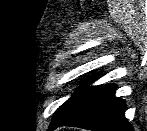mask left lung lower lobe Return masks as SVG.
<instances>
[{
  "instance_id": "left-lung-lower-lobe-1",
  "label": "left lung lower lobe",
  "mask_w": 147,
  "mask_h": 131,
  "mask_svg": "<svg viewBox=\"0 0 147 131\" xmlns=\"http://www.w3.org/2000/svg\"><path fill=\"white\" fill-rule=\"evenodd\" d=\"M115 88L114 84L101 86L75 114L50 128V131L59 126L93 131H133L124 116L126 105L120 98L115 97Z\"/></svg>"
}]
</instances>
